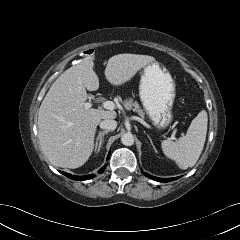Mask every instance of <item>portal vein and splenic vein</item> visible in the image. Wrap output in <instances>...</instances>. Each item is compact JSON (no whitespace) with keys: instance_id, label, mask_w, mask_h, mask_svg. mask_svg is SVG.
Masks as SVG:
<instances>
[{"instance_id":"1","label":"portal vein and splenic vein","mask_w":240,"mask_h":240,"mask_svg":"<svg viewBox=\"0 0 240 240\" xmlns=\"http://www.w3.org/2000/svg\"><path fill=\"white\" fill-rule=\"evenodd\" d=\"M83 107L85 109H90L92 107V104L89 103V102H85L83 103ZM102 107L105 108V109H108V110H114L115 109V103L112 102V101H104L102 103ZM171 139H175V137H171Z\"/></svg>"}]
</instances>
